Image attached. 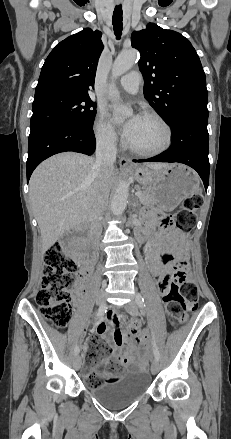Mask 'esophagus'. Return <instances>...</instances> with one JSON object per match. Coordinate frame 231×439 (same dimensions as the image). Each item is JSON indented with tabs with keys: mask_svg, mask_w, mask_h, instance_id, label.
Listing matches in <instances>:
<instances>
[{
	"mask_svg": "<svg viewBox=\"0 0 231 439\" xmlns=\"http://www.w3.org/2000/svg\"><path fill=\"white\" fill-rule=\"evenodd\" d=\"M120 168L125 169H131L133 167V164L131 163V160L127 157H121L119 160Z\"/></svg>",
	"mask_w": 231,
	"mask_h": 439,
	"instance_id": "esophagus-1",
	"label": "esophagus"
}]
</instances>
